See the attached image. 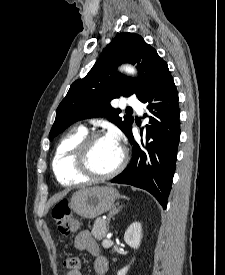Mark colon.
I'll return each mask as SVG.
<instances>
[{"label":"colon","mask_w":225,"mask_h":275,"mask_svg":"<svg viewBox=\"0 0 225 275\" xmlns=\"http://www.w3.org/2000/svg\"><path fill=\"white\" fill-rule=\"evenodd\" d=\"M52 217L61 234L69 236L76 231L77 222L71 217V211L67 200H61L53 207ZM63 268L68 271H79V258L76 256L67 257L63 261Z\"/></svg>","instance_id":"5ec220e1"}]
</instances>
